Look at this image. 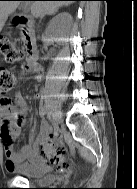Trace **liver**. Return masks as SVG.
I'll use <instances>...</instances> for the list:
<instances>
[{
	"mask_svg": "<svg viewBox=\"0 0 137 189\" xmlns=\"http://www.w3.org/2000/svg\"><path fill=\"white\" fill-rule=\"evenodd\" d=\"M31 3V12L34 16H44L45 14H53L57 9L63 5H68L69 1H34ZM18 1H0V32L8 18L13 13L17 6Z\"/></svg>",
	"mask_w": 137,
	"mask_h": 189,
	"instance_id": "1",
	"label": "liver"
}]
</instances>
